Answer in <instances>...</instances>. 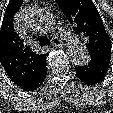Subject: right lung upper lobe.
<instances>
[{"label":"right lung upper lobe","instance_id":"obj_1","mask_svg":"<svg viewBox=\"0 0 113 113\" xmlns=\"http://www.w3.org/2000/svg\"><path fill=\"white\" fill-rule=\"evenodd\" d=\"M23 0H10L0 30V61L10 79L24 90L46 71L47 54L37 55L27 47L13 26V17Z\"/></svg>","mask_w":113,"mask_h":113}]
</instances>
